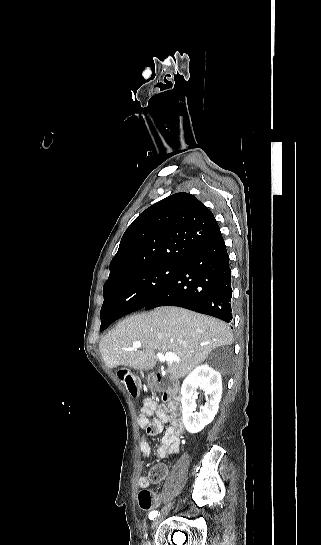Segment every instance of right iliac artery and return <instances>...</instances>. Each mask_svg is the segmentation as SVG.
Returning a JSON list of instances; mask_svg holds the SVG:
<instances>
[{
	"label": "right iliac artery",
	"mask_w": 321,
	"mask_h": 545,
	"mask_svg": "<svg viewBox=\"0 0 321 545\" xmlns=\"http://www.w3.org/2000/svg\"><path fill=\"white\" fill-rule=\"evenodd\" d=\"M158 514V511H152L149 514V518L153 520Z\"/></svg>",
	"instance_id": "82829eb1"
}]
</instances>
